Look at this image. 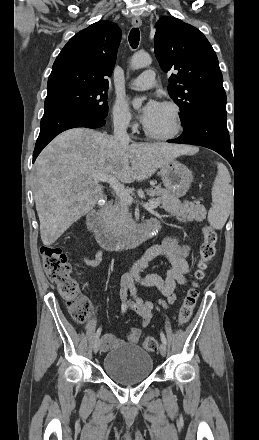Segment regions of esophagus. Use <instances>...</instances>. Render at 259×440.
I'll return each instance as SVG.
<instances>
[{
    "instance_id": "esophagus-1",
    "label": "esophagus",
    "mask_w": 259,
    "mask_h": 440,
    "mask_svg": "<svg viewBox=\"0 0 259 440\" xmlns=\"http://www.w3.org/2000/svg\"><path fill=\"white\" fill-rule=\"evenodd\" d=\"M132 25L134 27H140L142 25V21L139 17H133L132 18Z\"/></svg>"
}]
</instances>
